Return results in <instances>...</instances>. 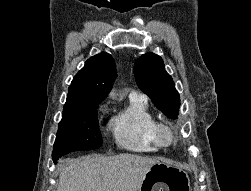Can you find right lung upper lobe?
Wrapping results in <instances>:
<instances>
[{
  "mask_svg": "<svg viewBox=\"0 0 251 191\" xmlns=\"http://www.w3.org/2000/svg\"><path fill=\"white\" fill-rule=\"evenodd\" d=\"M116 76L115 62L110 54L101 52L89 58L69 86L64 110L99 105Z\"/></svg>",
  "mask_w": 251,
  "mask_h": 191,
  "instance_id": "right-lung-upper-lobe-1",
  "label": "right lung upper lobe"
}]
</instances>
